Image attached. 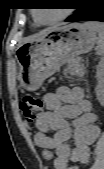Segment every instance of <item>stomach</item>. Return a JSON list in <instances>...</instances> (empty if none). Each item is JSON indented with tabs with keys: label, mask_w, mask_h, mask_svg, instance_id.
Returning a JSON list of instances; mask_svg holds the SVG:
<instances>
[{
	"label": "stomach",
	"mask_w": 104,
	"mask_h": 169,
	"mask_svg": "<svg viewBox=\"0 0 104 169\" xmlns=\"http://www.w3.org/2000/svg\"><path fill=\"white\" fill-rule=\"evenodd\" d=\"M98 39L97 31L87 24L73 23L51 28L24 43L16 52L20 86L30 91L38 89L61 65L89 52Z\"/></svg>",
	"instance_id": "obj_1"
}]
</instances>
